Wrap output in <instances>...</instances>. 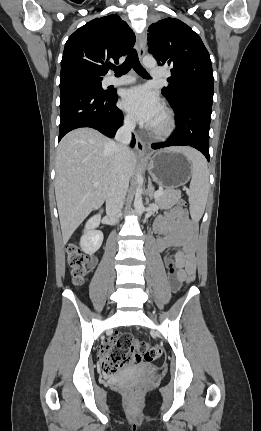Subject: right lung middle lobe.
I'll use <instances>...</instances> for the list:
<instances>
[{
    "label": "right lung middle lobe",
    "mask_w": 261,
    "mask_h": 431,
    "mask_svg": "<svg viewBox=\"0 0 261 431\" xmlns=\"http://www.w3.org/2000/svg\"><path fill=\"white\" fill-rule=\"evenodd\" d=\"M103 77L94 75L87 71L82 70H72L68 72L61 73L60 75V83L63 82H83L91 84L98 92L102 94H106L107 91H104L101 86V81Z\"/></svg>",
    "instance_id": "1"
}]
</instances>
